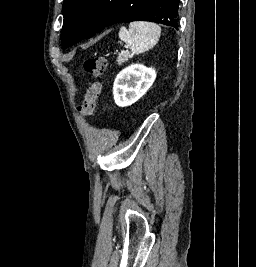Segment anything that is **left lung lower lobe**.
I'll use <instances>...</instances> for the list:
<instances>
[{"instance_id":"left-lung-lower-lobe-1","label":"left lung lower lobe","mask_w":256,"mask_h":267,"mask_svg":"<svg viewBox=\"0 0 256 267\" xmlns=\"http://www.w3.org/2000/svg\"><path fill=\"white\" fill-rule=\"evenodd\" d=\"M175 4H176V24L178 25L177 13H178L179 0H175ZM178 28H179V25H178Z\"/></svg>"}]
</instances>
